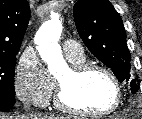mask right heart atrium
I'll return each instance as SVG.
<instances>
[{
	"mask_svg": "<svg viewBox=\"0 0 142 119\" xmlns=\"http://www.w3.org/2000/svg\"><path fill=\"white\" fill-rule=\"evenodd\" d=\"M14 88L21 100L45 106L52 96L54 81L37 56L24 53L16 69Z\"/></svg>",
	"mask_w": 142,
	"mask_h": 119,
	"instance_id": "obj_1",
	"label": "right heart atrium"
}]
</instances>
